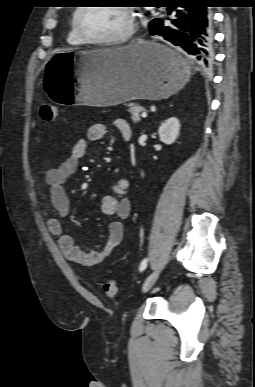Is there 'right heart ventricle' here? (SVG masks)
Instances as JSON below:
<instances>
[{
  "mask_svg": "<svg viewBox=\"0 0 255 387\" xmlns=\"http://www.w3.org/2000/svg\"><path fill=\"white\" fill-rule=\"evenodd\" d=\"M67 41H68L69 44L76 45V46L84 44V42L77 36V34H76L75 30H74V27H73V21L72 20H71L69 31H68V34H67Z\"/></svg>",
  "mask_w": 255,
  "mask_h": 387,
  "instance_id": "e07e8e85",
  "label": "right heart ventricle"
}]
</instances>
